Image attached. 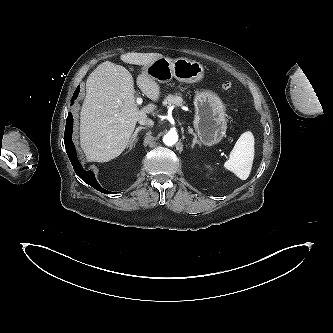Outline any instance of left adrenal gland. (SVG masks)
I'll list each match as a JSON object with an SVG mask.
<instances>
[{
  "instance_id": "obj_1",
  "label": "left adrenal gland",
  "mask_w": 333,
  "mask_h": 333,
  "mask_svg": "<svg viewBox=\"0 0 333 333\" xmlns=\"http://www.w3.org/2000/svg\"><path fill=\"white\" fill-rule=\"evenodd\" d=\"M188 131H189V133L192 134L193 137H194V138H193V141H192V148H194L195 144H199V145H200V142L198 141L196 134L193 132V129L190 128V127H188Z\"/></svg>"
}]
</instances>
